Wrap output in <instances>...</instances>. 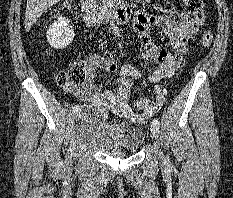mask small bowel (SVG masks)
<instances>
[{
    "label": "small bowel",
    "instance_id": "c3829d8e",
    "mask_svg": "<svg viewBox=\"0 0 233 198\" xmlns=\"http://www.w3.org/2000/svg\"><path fill=\"white\" fill-rule=\"evenodd\" d=\"M164 25V34L168 40L170 50L157 47L150 38L152 25ZM200 27L188 13L182 12L176 17L171 11L153 14L140 10L134 20V29L140 42L141 53L148 62L158 63V66L148 77L156 83L171 77L180 66L187 53L189 40ZM86 81L75 86L73 94L81 101L99 106V108L113 107L120 115L132 119L142 120L144 116L133 113L128 105V98L134 88L136 79L142 75L133 67L125 65L120 69L114 62L100 55H91L82 63ZM103 69L116 75L117 89L115 91L101 88L97 82V71Z\"/></svg>",
    "mask_w": 233,
    "mask_h": 198
}]
</instances>
